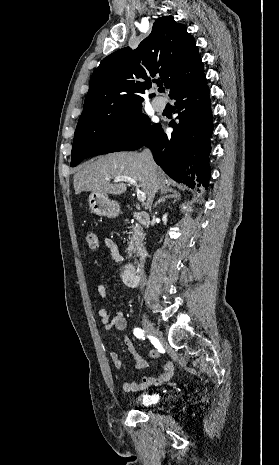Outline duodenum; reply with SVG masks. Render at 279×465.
<instances>
[{
	"instance_id": "410a0bca",
	"label": "duodenum",
	"mask_w": 279,
	"mask_h": 465,
	"mask_svg": "<svg viewBox=\"0 0 279 465\" xmlns=\"http://www.w3.org/2000/svg\"><path fill=\"white\" fill-rule=\"evenodd\" d=\"M133 217L142 224L146 225L149 223V217L144 212H135L133 213ZM146 255V248H141L139 250L140 260H143ZM141 267V264H139L138 267L131 266L126 268L123 276V280L126 285L130 287H135L139 284L141 279Z\"/></svg>"
}]
</instances>
